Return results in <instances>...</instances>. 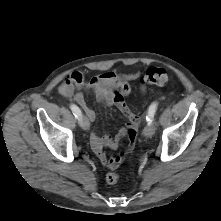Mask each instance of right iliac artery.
<instances>
[{
	"label": "right iliac artery",
	"instance_id": "1",
	"mask_svg": "<svg viewBox=\"0 0 221 221\" xmlns=\"http://www.w3.org/2000/svg\"><path fill=\"white\" fill-rule=\"evenodd\" d=\"M70 108L74 116L79 120V118L81 117V110L75 104H71Z\"/></svg>",
	"mask_w": 221,
	"mask_h": 221
}]
</instances>
